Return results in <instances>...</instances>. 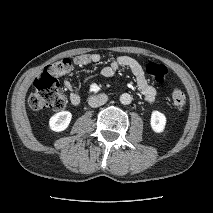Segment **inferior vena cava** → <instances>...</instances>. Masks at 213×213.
<instances>
[{"instance_id": "602c4592", "label": "inferior vena cava", "mask_w": 213, "mask_h": 213, "mask_svg": "<svg viewBox=\"0 0 213 213\" xmlns=\"http://www.w3.org/2000/svg\"><path fill=\"white\" fill-rule=\"evenodd\" d=\"M107 100H108V96L106 94H98V95L91 96L88 99V104L91 107L96 108L101 105H104L107 102Z\"/></svg>"}]
</instances>
